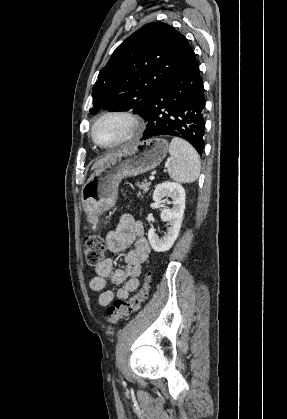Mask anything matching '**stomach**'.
Instances as JSON below:
<instances>
[{"mask_svg": "<svg viewBox=\"0 0 287 419\" xmlns=\"http://www.w3.org/2000/svg\"><path fill=\"white\" fill-rule=\"evenodd\" d=\"M168 148L165 139L151 138L124 148L98 167L81 191L83 208L88 217L96 218L112 208L120 182L156 168L165 158Z\"/></svg>", "mask_w": 287, "mask_h": 419, "instance_id": "1", "label": "stomach"}]
</instances>
